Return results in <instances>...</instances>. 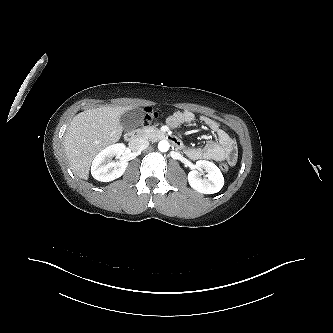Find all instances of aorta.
<instances>
[{
	"mask_svg": "<svg viewBox=\"0 0 333 333\" xmlns=\"http://www.w3.org/2000/svg\"><path fill=\"white\" fill-rule=\"evenodd\" d=\"M169 148H170V144L167 140H161L158 143V149L161 152H167L169 150Z\"/></svg>",
	"mask_w": 333,
	"mask_h": 333,
	"instance_id": "aorta-1",
	"label": "aorta"
}]
</instances>
